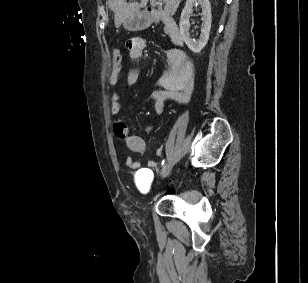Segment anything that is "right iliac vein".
<instances>
[{
  "label": "right iliac vein",
  "mask_w": 308,
  "mask_h": 283,
  "mask_svg": "<svg viewBox=\"0 0 308 283\" xmlns=\"http://www.w3.org/2000/svg\"><path fill=\"white\" fill-rule=\"evenodd\" d=\"M170 167H171V162L169 161L168 163H166V165L163 167L161 171L162 178H165L169 174Z\"/></svg>",
  "instance_id": "obj_1"
}]
</instances>
